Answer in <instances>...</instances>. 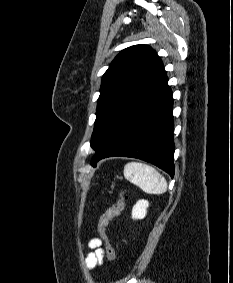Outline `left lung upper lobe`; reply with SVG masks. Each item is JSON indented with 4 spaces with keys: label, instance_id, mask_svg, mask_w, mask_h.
Returning <instances> with one entry per match:
<instances>
[{
    "label": "left lung upper lobe",
    "instance_id": "obj_1",
    "mask_svg": "<svg viewBox=\"0 0 233 283\" xmlns=\"http://www.w3.org/2000/svg\"><path fill=\"white\" fill-rule=\"evenodd\" d=\"M156 52L147 45L121 51L102 77L91 147L97 151L132 107L140 93L162 67Z\"/></svg>",
    "mask_w": 233,
    "mask_h": 283
}]
</instances>
